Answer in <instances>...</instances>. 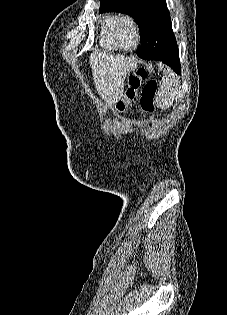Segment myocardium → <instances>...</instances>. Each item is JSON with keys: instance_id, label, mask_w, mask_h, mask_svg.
Listing matches in <instances>:
<instances>
[{"instance_id": "1", "label": "myocardium", "mask_w": 227, "mask_h": 315, "mask_svg": "<svg viewBox=\"0 0 227 315\" xmlns=\"http://www.w3.org/2000/svg\"><path fill=\"white\" fill-rule=\"evenodd\" d=\"M124 24H129L132 27L134 36H135L134 44L129 47L125 46L121 39V29ZM114 31H115L116 41L121 49L126 50V51H131V50L136 49L139 46L141 42L140 26L137 20L135 19V17H133L132 15L126 14V15L120 16L115 24Z\"/></svg>"}]
</instances>
